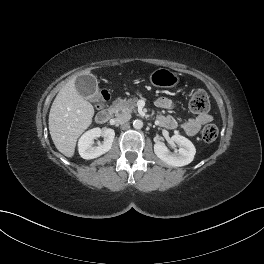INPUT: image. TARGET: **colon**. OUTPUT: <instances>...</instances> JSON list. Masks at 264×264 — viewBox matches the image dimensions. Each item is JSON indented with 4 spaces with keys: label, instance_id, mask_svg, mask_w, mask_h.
Returning <instances> with one entry per match:
<instances>
[{
    "label": "colon",
    "instance_id": "colon-1",
    "mask_svg": "<svg viewBox=\"0 0 264 264\" xmlns=\"http://www.w3.org/2000/svg\"><path fill=\"white\" fill-rule=\"evenodd\" d=\"M107 99V95H102L103 102ZM189 109L196 114H205L210 109L208 95L203 89H194L189 98ZM202 139L205 142H213L218 137V128L214 124L206 125L201 132Z\"/></svg>",
    "mask_w": 264,
    "mask_h": 264
}]
</instances>
